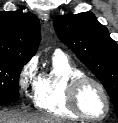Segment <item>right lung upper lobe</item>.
Instances as JSON below:
<instances>
[{
	"label": "right lung upper lobe",
	"mask_w": 118,
	"mask_h": 123,
	"mask_svg": "<svg viewBox=\"0 0 118 123\" xmlns=\"http://www.w3.org/2000/svg\"><path fill=\"white\" fill-rule=\"evenodd\" d=\"M41 40L40 22L31 13L0 12V56L29 61Z\"/></svg>",
	"instance_id": "obj_1"
}]
</instances>
